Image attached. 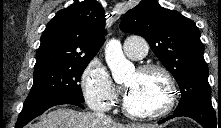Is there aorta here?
Here are the masks:
<instances>
[{
  "instance_id": "1",
  "label": "aorta",
  "mask_w": 221,
  "mask_h": 128,
  "mask_svg": "<svg viewBox=\"0 0 221 128\" xmlns=\"http://www.w3.org/2000/svg\"><path fill=\"white\" fill-rule=\"evenodd\" d=\"M105 59L115 81H122L134 71V65L125 58L119 40L111 39L105 47Z\"/></svg>"
}]
</instances>
